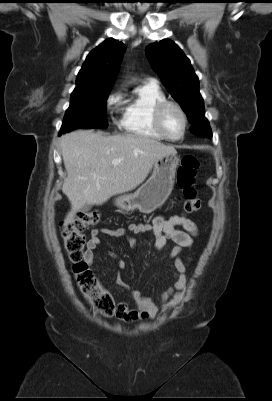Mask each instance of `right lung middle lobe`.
Here are the masks:
<instances>
[{
    "mask_svg": "<svg viewBox=\"0 0 272 401\" xmlns=\"http://www.w3.org/2000/svg\"><path fill=\"white\" fill-rule=\"evenodd\" d=\"M110 91L97 90L71 97L59 135L76 128H106V103Z\"/></svg>",
    "mask_w": 272,
    "mask_h": 401,
    "instance_id": "right-lung-middle-lobe-1",
    "label": "right lung middle lobe"
}]
</instances>
